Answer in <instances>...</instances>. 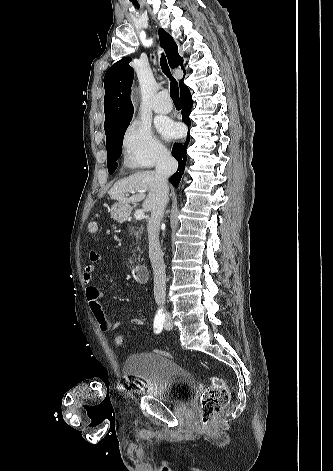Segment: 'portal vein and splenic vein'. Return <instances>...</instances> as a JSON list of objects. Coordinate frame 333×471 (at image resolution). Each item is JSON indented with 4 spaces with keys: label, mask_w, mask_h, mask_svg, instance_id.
<instances>
[{
    "label": "portal vein and splenic vein",
    "mask_w": 333,
    "mask_h": 471,
    "mask_svg": "<svg viewBox=\"0 0 333 471\" xmlns=\"http://www.w3.org/2000/svg\"><path fill=\"white\" fill-rule=\"evenodd\" d=\"M134 216L137 220L143 219L145 217L144 210H142V209L136 210Z\"/></svg>",
    "instance_id": "obj_1"
}]
</instances>
